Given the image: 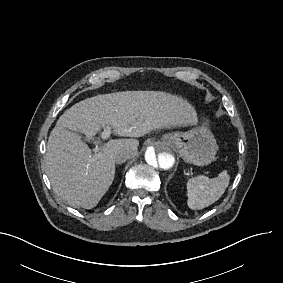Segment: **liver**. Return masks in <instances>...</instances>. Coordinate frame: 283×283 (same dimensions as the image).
Returning a JSON list of instances; mask_svg holds the SVG:
<instances>
[{
  "mask_svg": "<svg viewBox=\"0 0 283 283\" xmlns=\"http://www.w3.org/2000/svg\"><path fill=\"white\" fill-rule=\"evenodd\" d=\"M198 122L196 110L181 96L161 91H122L97 95L67 109L47 143L46 173L53 191L72 206L98 204L115 175V152L129 148L137 154V139L110 140L92 154L87 140L109 126L119 136L141 137L155 129L186 127Z\"/></svg>",
  "mask_w": 283,
  "mask_h": 283,
  "instance_id": "obj_1",
  "label": "liver"
}]
</instances>
